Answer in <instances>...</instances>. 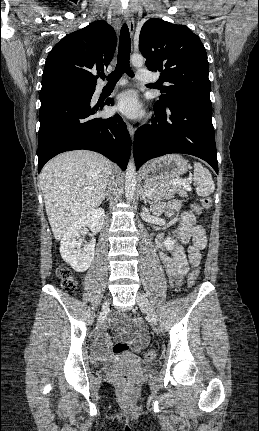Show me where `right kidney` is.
<instances>
[{"label": "right kidney", "mask_w": 259, "mask_h": 431, "mask_svg": "<svg viewBox=\"0 0 259 431\" xmlns=\"http://www.w3.org/2000/svg\"><path fill=\"white\" fill-rule=\"evenodd\" d=\"M104 217V209L92 210L75 221L61 239V256L75 271H86L90 267L95 253V239L92 238L89 243L81 248V235L86 227H89L93 233L99 232L103 226Z\"/></svg>", "instance_id": "right-kidney-1"}]
</instances>
